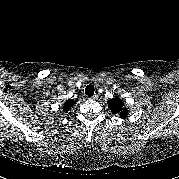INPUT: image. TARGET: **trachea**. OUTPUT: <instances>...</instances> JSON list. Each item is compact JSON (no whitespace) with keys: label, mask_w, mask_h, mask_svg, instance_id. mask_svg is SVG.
Here are the masks:
<instances>
[{"label":"trachea","mask_w":179,"mask_h":179,"mask_svg":"<svg viewBox=\"0 0 179 179\" xmlns=\"http://www.w3.org/2000/svg\"><path fill=\"white\" fill-rule=\"evenodd\" d=\"M94 91H95V89H94L93 85H87L86 88H85L86 95H88L90 97L93 96Z\"/></svg>","instance_id":"3493384b"}]
</instances>
